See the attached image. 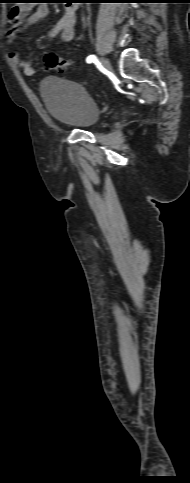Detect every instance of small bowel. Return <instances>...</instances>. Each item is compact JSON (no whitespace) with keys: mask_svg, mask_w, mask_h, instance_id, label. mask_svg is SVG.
Instances as JSON below:
<instances>
[{"mask_svg":"<svg viewBox=\"0 0 190 483\" xmlns=\"http://www.w3.org/2000/svg\"><path fill=\"white\" fill-rule=\"evenodd\" d=\"M30 3V2H26ZM48 14V7L44 4L33 5L23 4L13 8L8 14V28L5 31L6 44L13 49L8 53L9 60L22 68L25 75L31 76L35 70L29 61L23 60L21 52L15 46L16 35L22 25L31 27L42 21ZM77 18V7L74 4H67L64 15L48 31L47 38L60 39L69 43L74 39Z\"/></svg>","mask_w":190,"mask_h":483,"instance_id":"small-bowel-1","label":"small bowel"}]
</instances>
